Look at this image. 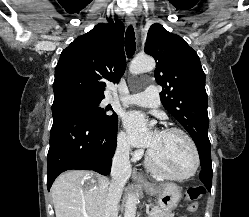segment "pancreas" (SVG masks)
Here are the masks:
<instances>
[{
	"label": "pancreas",
	"mask_w": 249,
	"mask_h": 217,
	"mask_svg": "<svg viewBox=\"0 0 249 217\" xmlns=\"http://www.w3.org/2000/svg\"><path fill=\"white\" fill-rule=\"evenodd\" d=\"M148 217H173V214L170 212L163 211L158 206H154Z\"/></svg>",
	"instance_id": "obj_1"
}]
</instances>
